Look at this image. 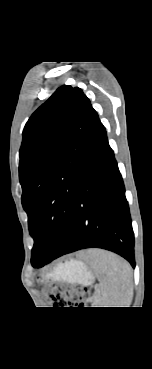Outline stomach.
<instances>
[{"label": "stomach", "mask_w": 152, "mask_h": 369, "mask_svg": "<svg viewBox=\"0 0 152 369\" xmlns=\"http://www.w3.org/2000/svg\"><path fill=\"white\" fill-rule=\"evenodd\" d=\"M51 277L82 285H89L94 279L87 266L83 262L76 260L59 265Z\"/></svg>", "instance_id": "0dacf381"}]
</instances>
